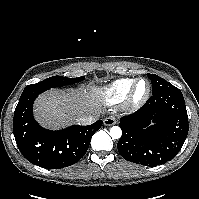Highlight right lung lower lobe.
Returning a JSON list of instances; mask_svg holds the SVG:
<instances>
[{"mask_svg":"<svg viewBox=\"0 0 199 199\" xmlns=\"http://www.w3.org/2000/svg\"><path fill=\"white\" fill-rule=\"evenodd\" d=\"M39 90H24L14 112L13 133L22 155L31 163L59 169L78 162L86 153L92 135L102 120L88 126L73 125L59 131L42 128L34 119L32 107Z\"/></svg>","mask_w":199,"mask_h":199,"instance_id":"obj_1","label":"right lung lower lobe"}]
</instances>
